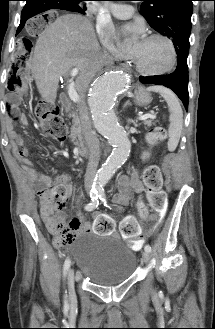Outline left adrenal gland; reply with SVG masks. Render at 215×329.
<instances>
[{
	"instance_id": "left-adrenal-gland-1",
	"label": "left adrenal gland",
	"mask_w": 215,
	"mask_h": 329,
	"mask_svg": "<svg viewBox=\"0 0 215 329\" xmlns=\"http://www.w3.org/2000/svg\"><path fill=\"white\" fill-rule=\"evenodd\" d=\"M127 106H131L130 100H127L126 103L124 104L123 108H126Z\"/></svg>"
}]
</instances>
